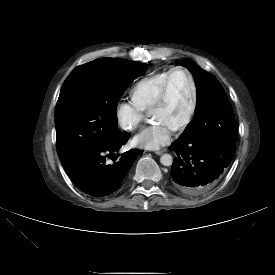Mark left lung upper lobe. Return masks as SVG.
Listing matches in <instances>:
<instances>
[{"label":"left lung upper lobe","instance_id":"obj_1","mask_svg":"<svg viewBox=\"0 0 275 275\" xmlns=\"http://www.w3.org/2000/svg\"><path fill=\"white\" fill-rule=\"evenodd\" d=\"M188 68L197 86L198 104L196 117L187 125L178 139L205 136H228L237 141V123L226 92L211 73L188 60L175 61Z\"/></svg>","mask_w":275,"mask_h":275}]
</instances>
